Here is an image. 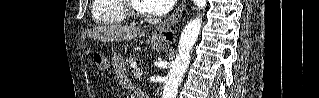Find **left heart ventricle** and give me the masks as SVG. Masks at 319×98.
Instances as JSON below:
<instances>
[{
  "label": "left heart ventricle",
  "instance_id": "left-heart-ventricle-1",
  "mask_svg": "<svg viewBox=\"0 0 319 98\" xmlns=\"http://www.w3.org/2000/svg\"><path fill=\"white\" fill-rule=\"evenodd\" d=\"M135 3H136V6H137V7L141 8V6H140V5H141V4H140V1H136Z\"/></svg>",
  "mask_w": 319,
  "mask_h": 98
}]
</instances>
